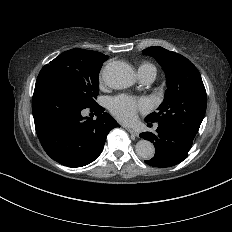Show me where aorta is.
Masks as SVG:
<instances>
[{
  "mask_svg": "<svg viewBox=\"0 0 232 232\" xmlns=\"http://www.w3.org/2000/svg\"><path fill=\"white\" fill-rule=\"evenodd\" d=\"M105 84L113 89H125L135 82L134 71L130 65L121 61L110 62L103 71ZM136 152L143 159H151L155 148L153 143L141 139L136 144Z\"/></svg>",
  "mask_w": 232,
  "mask_h": 232,
  "instance_id": "aorta-1",
  "label": "aorta"
}]
</instances>
